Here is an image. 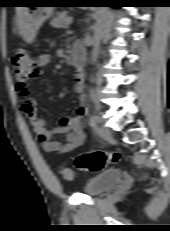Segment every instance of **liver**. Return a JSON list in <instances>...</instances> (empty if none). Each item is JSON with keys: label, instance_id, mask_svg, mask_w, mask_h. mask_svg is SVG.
<instances>
[{"label": "liver", "instance_id": "obj_1", "mask_svg": "<svg viewBox=\"0 0 170 231\" xmlns=\"http://www.w3.org/2000/svg\"><path fill=\"white\" fill-rule=\"evenodd\" d=\"M21 11H22V7H17V8H16L17 14H19Z\"/></svg>", "mask_w": 170, "mask_h": 231}]
</instances>
